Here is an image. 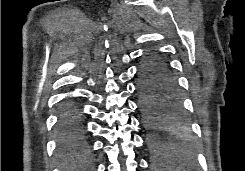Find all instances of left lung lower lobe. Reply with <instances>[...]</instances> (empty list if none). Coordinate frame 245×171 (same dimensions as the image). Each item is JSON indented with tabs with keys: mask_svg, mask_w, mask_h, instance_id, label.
<instances>
[{
	"mask_svg": "<svg viewBox=\"0 0 245 171\" xmlns=\"http://www.w3.org/2000/svg\"><path fill=\"white\" fill-rule=\"evenodd\" d=\"M148 54L153 55V60L140 63L139 80L145 124L149 128L175 131L181 127L184 120L177 77L161 54ZM147 144L153 156L157 158L156 167H181V162L187 161L181 149L172 147L169 140L163 136L150 134Z\"/></svg>",
	"mask_w": 245,
	"mask_h": 171,
	"instance_id": "obj_1",
	"label": "left lung lower lobe"
}]
</instances>
